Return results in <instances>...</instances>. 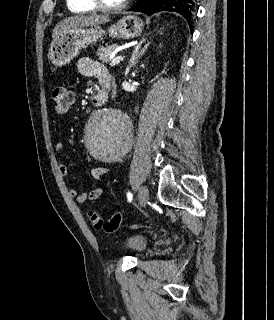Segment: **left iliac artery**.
Here are the masks:
<instances>
[{
  "label": "left iliac artery",
  "mask_w": 274,
  "mask_h": 320,
  "mask_svg": "<svg viewBox=\"0 0 274 320\" xmlns=\"http://www.w3.org/2000/svg\"><path fill=\"white\" fill-rule=\"evenodd\" d=\"M132 197H133V196H132V193H131V192H128V193H127V199H128L129 202L132 201Z\"/></svg>",
  "instance_id": "1"
}]
</instances>
